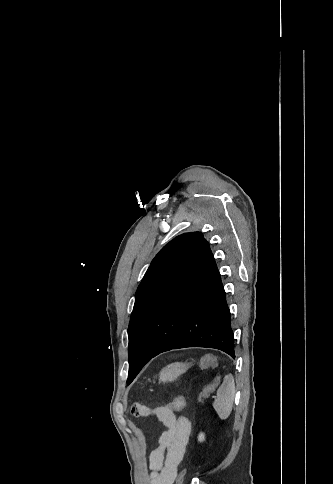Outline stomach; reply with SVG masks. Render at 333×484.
I'll list each match as a JSON object with an SVG mask.
<instances>
[{"mask_svg": "<svg viewBox=\"0 0 333 484\" xmlns=\"http://www.w3.org/2000/svg\"><path fill=\"white\" fill-rule=\"evenodd\" d=\"M190 367V364L183 362H175L165 366L159 375V379L162 382L174 381L178 376L185 373Z\"/></svg>", "mask_w": 333, "mask_h": 484, "instance_id": "stomach-1", "label": "stomach"}]
</instances>
